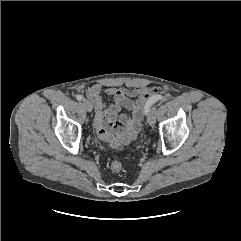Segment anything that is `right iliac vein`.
Segmentation results:
<instances>
[{"label":"right iliac vein","instance_id":"right-iliac-vein-1","mask_svg":"<svg viewBox=\"0 0 241 241\" xmlns=\"http://www.w3.org/2000/svg\"><path fill=\"white\" fill-rule=\"evenodd\" d=\"M84 108L88 111L91 112L93 109L92 103L88 99H83L82 101Z\"/></svg>","mask_w":241,"mask_h":241}]
</instances>
